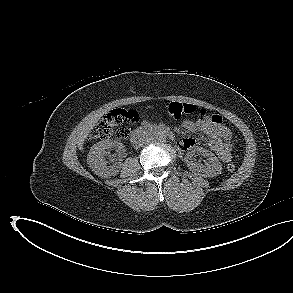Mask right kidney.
Returning <instances> with one entry per match:
<instances>
[{"label": "right kidney", "instance_id": "right-kidney-1", "mask_svg": "<svg viewBox=\"0 0 293 293\" xmlns=\"http://www.w3.org/2000/svg\"><path fill=\"white\" fill-rule=\"evenodd\" d=\"M111 148H117L121 150L124 145L117 141H112L109 139L102 140L94 144L87 157V163L92 171L99 177H111L118 174L121 168V162H115L113 165L108 166V161L105 158L106 150Z\"/></svg>", "mask_w": 293, "mask_h": 293}]
</instances>
